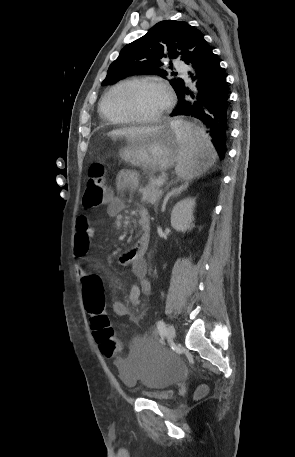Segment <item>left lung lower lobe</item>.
Segmentation results:
<instances>
[{
    "label": "left lung lower lobe",
    "mask_w": 295,
    "mask_h": 457,
    "mask_svg": "<svg viewBox=\"0 0 295 457\" xmlns=\"http://www.w3.org/2000/svg\"><path fill=\"white\" fill-rule=\"evenodd\" d=\"M186 64L191 66L189 75L198 92L192 93L184 84L176 93L178 104L171 116L190 115L200 119L208 128L207 133L216 154L223 159L229 135V93L226 76L220 61L205 39L198 43ZM186 95H190L192 100H185Z\"/></svg>",
    "instance_id": "1"
}]
</instances>
